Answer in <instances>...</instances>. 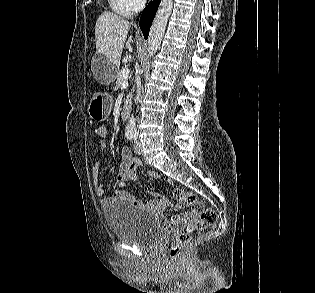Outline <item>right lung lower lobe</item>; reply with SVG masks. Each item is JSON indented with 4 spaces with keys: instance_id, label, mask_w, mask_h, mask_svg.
Segmentation results:
<instances>
[{
    "instance_id": "98d812e1",
    "label": "right lung lower lobe",
    "mask_w": 315,
    "mask_h": 293,
    "mask_svg": "<svg viewBox=\"0 0 315 293\" xmlns=\"http://www.w3.org/2000/svg\"><path fill=\"white\" fill-rule=\"evenodd\" d=\"M158 7V2H151L143 11L141 17H140V28L143 32V35L145 39L148 38L149 30L151 23L153 21V18L156 14V10Z\"/></svg>"
}]
</instances>
